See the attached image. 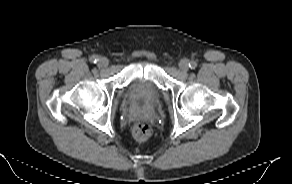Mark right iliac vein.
Returning <instances> with one entry per match:
<instances>
[{"label":"right iliac vein","instance_id":"63e3f726","mask_svg":"<svg viewBox=\"0 0 292 184\" xmlns=\"http://www.w3.org/2000/svg\"><path fill=\"white\" fill-rule=\"evenodd\" d=\"M109 64V61L106 57H101L99 60H98V65L99 67H107Z\"/></svg>","mask_w":292,"mask_h":184}]
</instances>
